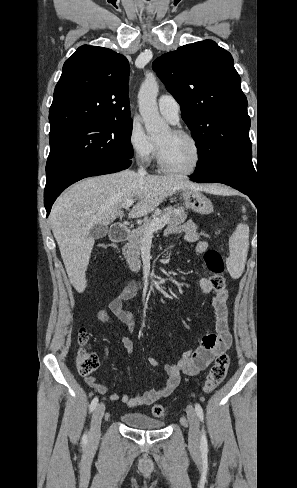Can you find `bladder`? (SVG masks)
I'll list each match as a JSON object with an SVG mask.
<instances>
[{"label":"bladder","mask_w":297,"mask_h":488,"mask_svg":"<svg viewBox=\"0 0 297 488\" xmlns=\"http://www.w3.org/2000/svg\"><path fill=\"white\" fill-rule=\"evenodd\" d=\"M121 421L127 427L140 430H156L164 427V423L162 421L137 412L122 414Z\"/></svg>","instance_id":"obj_1"}]
</instances>
